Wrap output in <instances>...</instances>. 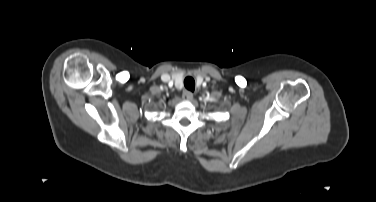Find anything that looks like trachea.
I'll use <instances>...</instances> for the list:
<instances>
[{"instance_id": "1", "label": "trachea", "mask_w": 376, "mask_h": 202, "mask_svg": "<svg viewBox=\"0 0 376 202\" xmlns=\"http://www.w3.org/2000/svg\"><path fill=\"white\" fill-rule=\"evenodd\" d=\"M184 86L187 90L193 92L195 90V80L192 77H186L184 80Z\"/></svg>"}]
</instances>
